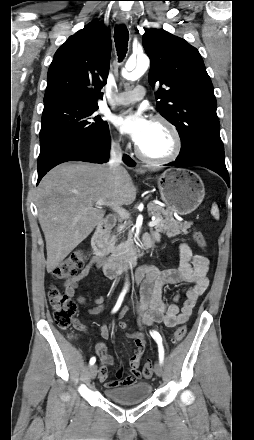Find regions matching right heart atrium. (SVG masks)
<instances>
[{
    "instance_id": "obj_1",
    "label": "right heart atrium",
    "mask_w": 254,
    "mask_h": 440,
    "mask_svg": "<svg viewBox=\"0 0 254 440\" xmlns=\"http://www.w3.org/2000/svg\"><path fill=\"white\" fill-rule=\"evenodd\" d=\"M112 146L115 148V149H119L120 147H121V139L118 137V138H114L113 140H112Z\"/></svg>"
}]
</instances>
